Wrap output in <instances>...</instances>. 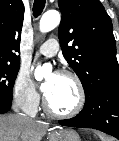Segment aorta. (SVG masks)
I'll return each instance as SVG.
<instances>
[{
	"mask_svg": "<svg viewBox=\"0 0 119 141\" xmlns=\"http://www.w3.org/2000/svg\"><path fill=\"white\" fill-rule=\"evenodd\" d=\"M61 17L58 11L51 10L43 14L40 20L39 28L43 33L49 32L57 27L60 23ZM51 70L50 64L38 66L35 69L34 75L37 80H42L44 76Z\"/></svg>",
	"mask_w": 119,
	"mask_h": 141,
	"instance_id": "obj_1",
	"label": "aorta"
}]
</instances>
